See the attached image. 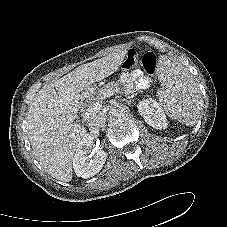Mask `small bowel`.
I'll use <instances>...</instances> for the list:
<instances>
[{
    "mask_svg": "<svg viewBox=\"0 0 227 227\" xmlns=\"http://www.w3.org/2000/svg\"><path fill=\"white\" fill-rule=\"evenodd\" d=\"M123 84L128 92H132L135 89H145L150 85V78L144 76L139 70H136L130 74H124L121 77Z\"/></svg>",
    "mask_w": 227,
    "mask_h": 227,
    "instance_id": "obj_1",
    "label": "small bowel"
}]
</instances>
